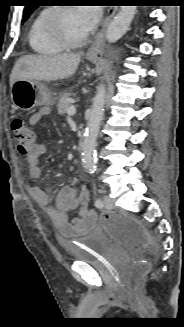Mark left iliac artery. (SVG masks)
Instances as JSON below:
<instances>
[{
	"label": "left iliac artery",
	"instance_id": "1",
	"mask_svg": "<svg viewBox=\"0 0 184 327\" xmlns=\"http://www.w3.org/2000/svg\"><path fill=\"white\" fill-rule=\"evenodd\" d=\"M95 206L98 208L103 207V201L100 198L96 199Z\"/></svg>",
	"mask_w": 184,
	"mask_h": 327
}]
</instances>
